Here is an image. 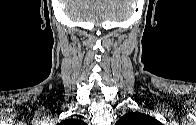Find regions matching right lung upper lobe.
<instances>
[{"instance_id":"right-lung-upper-lobe-1","label":"right lung upper lobe","mask_w":196,"mask_h":125,"mask_svg":"<svg viewBox=\"0 0 196 125\" xmlns=\"http://www.w3.org/2000/svg\"><path fill=\"white\" fill-rule=\"evenodd\" d=\"M73 121H74L73 119L64 120V121L62 122V124H65V123H68V122H73Z\"/></svg>"}]
</instances>
